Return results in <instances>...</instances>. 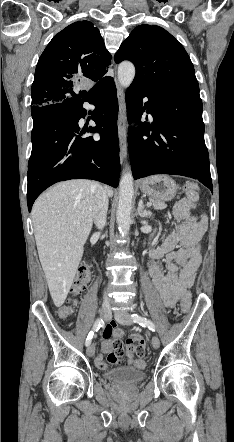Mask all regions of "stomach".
Returning a JSON list of instances; mask_svg holds the SVG:
<instances>
[{"label":"stomach","instance_id":"stomach-1","mask_svg":"<svg viewBox=\"0 0 234 442\" xmlns=\"http://www.w3.org/2000/svg\"><path fill=\"white\" fill-rule=\"evenodd\" d=\"M178 185L167 175H154L143 179L140 190L153 199L172 200L177 193Z\"/></svg>","mask_w":234,"mask_h":442}]
</instances>
